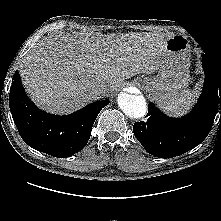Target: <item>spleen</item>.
<instances>
[{"mask_svg":"<svg viewBox=\"0 0 221 221\" xmlns=\"http://www.w3.org/2000/svg\"><path fill=\"white\" fill-rule=\"evenodd\" d=\"M193 99L191 98V94L187 93L184 98L179 103L170 104L163 106L162 108L175 116H179L187 112V110L191 107Z\"/></svg>","mask_w":221,"mask_h":221,"instance_id":"obj_1","label":"spleen"}]
</instances>
